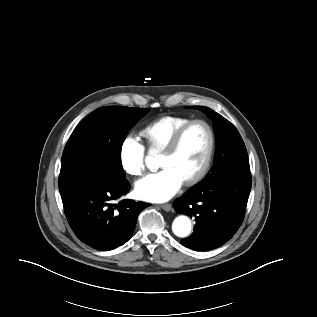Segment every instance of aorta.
Returning <instances> with one entry per match:
<instances>
[{"label": "aorta", "instance_id": "obj_1", "mask_svg": "<svg viewBox=\"0 0 317 317\" xmlns=\"http://www.w3.org/2000/svg\"><path fill=\"white\" fill-rule=\"evenodd\" d=\"M145 162L149 167H154L157 163L155 158L150 155L145 158ZM191 227V220L185 215L176 217L172 223L173 233L181 238L189 236L192 229Z\"/></svg>", "mask_w": 317, "mask_h": 317}]
</instances>
